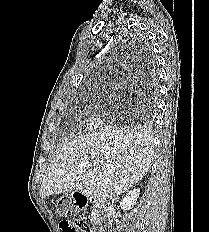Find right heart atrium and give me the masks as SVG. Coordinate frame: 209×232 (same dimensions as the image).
Segmentation results:
<instances>
[{"mask_svg":"<svg viewBox=\"0 0 209 232\" xmlns=\"http://www.w3.org/2000/svg\"><path fill=\"white\" fill-rule=\"evenodd\" d=\"M102 121H103V116L99 112H96L91 116L90 127L92 128L98 127L101 125Z\"/></svg>","mask_w":209,"mask_h":232,"instance_id":"1","label":"right heart atrium"}]
</instances>
